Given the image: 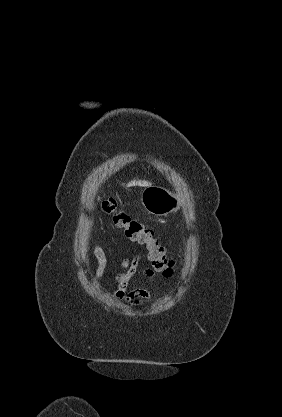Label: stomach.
<instances>
[{"label":"stomach","instance_id":"0dacf381","mask_svg":"<svg viewBox=\"0 0 282 417\" xmlns=\"http://www.w3.org/2000/svg\"><path fill=\"white\" fill-rule=\"evenodd\" d=\"M141 202L150 215H169L175 213L180 206L178 194L163 186H145L141 192Z\"/></svg>","mask_w":282,"mask_h":417}]
</instances>
